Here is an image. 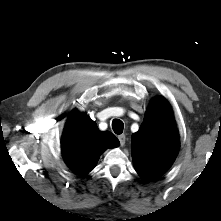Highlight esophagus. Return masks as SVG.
<instances>
[{"label":"esophagus","mask_w":221,"mask_h":221,"mask_svg":"<svg viewBox=\"0 0 221 221\" xmlns=\"http://www.w3.org/2000/svg\"><path fill=\"white\" fill-rule=\"evenodd\" d=\"M119 142L121 146H124L125 144V140H126V136L124 134H121L118 136Z\"/></svg>","instance_id":"34e87169"}]
</instances>
